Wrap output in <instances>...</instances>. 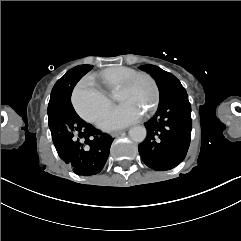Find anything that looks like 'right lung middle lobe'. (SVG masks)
I'll return each instance as SVG.
<instances>
[{
  "label": "right lung middle lobe",
  "instance_id": "right-lung-middle-lobe-1",
  "mask_svg": "<svg viewBox=\"0 0 241 241\" xmlns=\"http://www.w3.org/2000/svg\"><path fill=\"white\" fill-rule=\"evenodd\" d=\"M77 67L72 68L60 78L51 92L48 104V123L53 141L56 139V135L64 119L77 116V113L70 103L72 90L69 88V80Z\"/></svg>",
  "mask_w": 241,
  "mask_h": 241
}]
</instances>
